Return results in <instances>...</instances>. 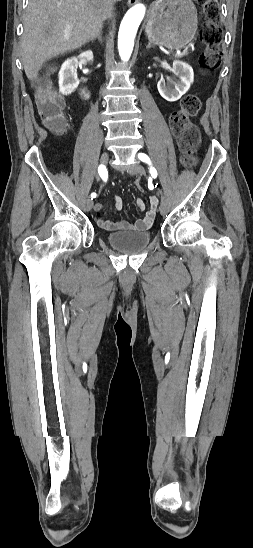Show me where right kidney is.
Instances as JSON below:
<instances>
[{
	"label": "right kidney",
	"mask_w": 253,
	"mask_h": 548,
	"mask_svg": "<svg viewBox=\"0 0 253 548\" xmlns=\"http://www.w3.org/2000/svg\"><path fill=\"white\" fill-rule=\"evenodd\" d=\"M78 59L92 61L93 52L90 50L85 51L81 53L78 57H72L70 59H67L62 64L58 77H59V91L63 95L71 94L79 85V80L77 77V69H76L78 64Z\"/></svg>",
	"instance_id": "right-kidney-1"
}]
</instances>
